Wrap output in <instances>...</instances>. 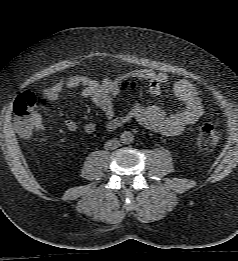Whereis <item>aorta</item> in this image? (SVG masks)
Listing matches in <instances>:
<instances>
[{"label":"aorta","mask_w":238,"mask_h":261,"mask_svg":"<svg viewBox=\"0 0 238 261\" xmlns=\"http://www.w3.org/2000/svg\"><path fill=\"white\" fill-rule=\"evenodd\" d=\"M133 140H134V136L130 131H124L121 134V142L123 144H130L133 142Z\"/></svg>","instance_id":"obj_1"}]
</instances>
